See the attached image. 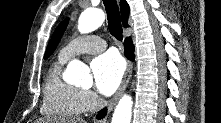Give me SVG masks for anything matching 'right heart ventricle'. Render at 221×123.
<instances>
[{"label":"right heart ventricle","instance_id":"1","mask_svg":"<svg viewBox=\"0 0 221 123\" xmlns=\"http://www.w3.org/2000/svg\"><path fill=\"white\" fill-rule=\"evenodd\" d=\"M65 60L58 58L47 72L41 111L55 118H73L85 112L81 90L61 78Z\"/></svg>","mask_w":221,"mask_h":123}]
</instances>
